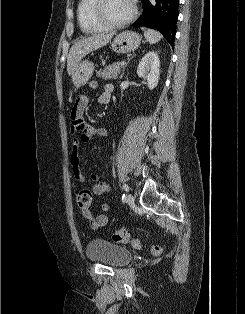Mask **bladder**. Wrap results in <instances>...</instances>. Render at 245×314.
Segmentation results:
<instances>
[{"instance_id":"31cf9c89","label":"bladder","mask_w":245,"mask_h":314,"mask_svg":"<svg viewBox=\"0 0 245 314\" xmlns=\"http://www.w3.org/2000/svg\"><path fill=\"white\" fill-rule=\"evenodd\" d=\"M86 255L92 262L112 267H122L133 258V254L128 248L103 239L90 241L86 248Z\"/></svg>"}]
</instances>
